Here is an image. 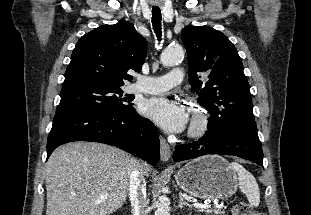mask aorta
Returning <instances> with one entry per match:
<instances>
[{
	"instance_id": "obj_1",
	"label": "aorta",
	"mask_w": 311,
	"mask_h": 215,
	"mask_svg": "<svg viewBox=\"0 0 311 215\" xmlns=\"http://www.w3.org/2000/svg\"><path fill=\"white\" fill-rule=\"evenodd\" d=\"M184 57V51L181 46H172L166 48L160 57V61L165 66H172L181 61ZM170 202L169 199L162 195L159 197L155 215H170Z\"/></svg>"
}]
</instances>
